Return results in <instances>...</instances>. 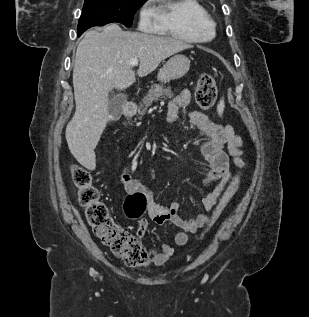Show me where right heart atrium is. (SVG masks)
<instances>
[{"mask_svg":"<svg viewBox=\"0 0 309 317\" xmlns=\"http://www.w3.org/2000/svg\"><path fill=\"white\" fill-rule=\"evenodd\" d=\"M156 21V13L150 2L145 3L139 13V23L142 28H149Z\"/></svg>","mask_w":309,"mask_h":317,"instance_id":"1","label":"right heart atrium"}]
</instances>
